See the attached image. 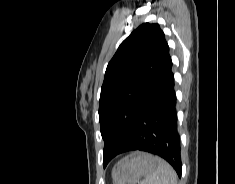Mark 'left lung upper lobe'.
Listing matches in <instances>:
<instances>
[{"label": "left lung upper lobe", "instance_id": "1", "mask_svg": "<svg viewBox=\"0 0 235 184\" xmlns=\"http://www.w3.org/2000/svg\"><path fill=\"white\" fill-rule=\"evenodd\" d=\"M166 45L159 25L144 23L121 43L109 62L99 102L104 167L118 155L131 135Z\"/></svg>", "mask_w": 235, "mask_h": 184}]
</instances>
